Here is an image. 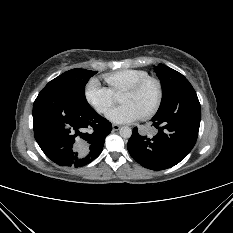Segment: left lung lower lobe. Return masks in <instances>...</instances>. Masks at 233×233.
<instances>
[{"instance_id": "1", "label": "left lung lower lobe", "mask_w": 233, "mask_h": 233, "mask_svg": "<svg viewBox=\"0 0 233 233\" xmlns=\"http://www.w3.org/2000/svg\"><path fill=\"white\" fill-rule=\"evenodd\" d=\"M201 120L198 97L189 81L182 83L168 104L151 119L158 132L142 136L133 129L127 148L132 158L151 170L170 168L194 147Z\"/></svg>"}]
</instances>
